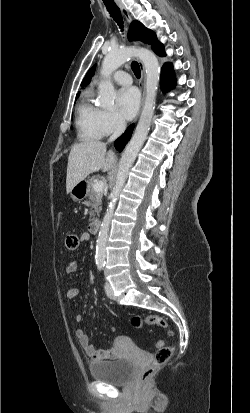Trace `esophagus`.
Segmentation results:
<instances>
[{
    "mask_svg": "<svg viewBox=\"0 0 250 413\" xmlns=\"http://www.w3.org/2000/svg\"><path fill=\"white\" fill-rule=\"evenodd\" d=\"M119 8L123 14V16L125 17L126 21L130 24L132 21V18L128 12V10L122 5V4H118ZM135 45H140V42H134ZM139 65H140V69H141V82H140V89L142 91V104L144 103V99H145V88H144V81H145V69H144V65L141 61H139ZM138 117L135 120V123L138 121Z\"/></svg>",
    "mask_w": 250,
    "mask_h": 413,
    "instance_id": "obj_1",
    "label": "esophagus"
}]
</instances>
